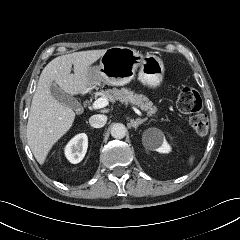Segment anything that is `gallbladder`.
<instances>
[{"instance_id":"bac80fb5","label":"gallbladder","mask_w":240,"mask_h":240,"mask_svg":"<svg viewBox=\"0 0 240 240\" xmlns=\"http://www.w3.org/2000/svg\"><path fill=\"white\" fill-rule=\"evenodd\" d=\"M50 93L55 100H57L58 102L65 106H68L73 109H78L81 107L80 103L75 98L65 93L55 83L51 84Z\"/></svg>"}]
</instances>
